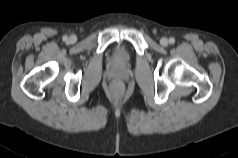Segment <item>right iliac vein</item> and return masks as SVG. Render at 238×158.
<instances>
[{"mask_svg": "<svg viewBox=\"0 0 238 158\" xmlns=\"http://www.w3.org/2000/svg\"><path fill=\"white\" fill-rule=\"evenodd\" d=\"M70 42H75L76 41V37L75 36H71L70 39H69Z\"/></svg>", "mask_w": 238, "mask_h": 158, "instance_id": "1", "label": "right iliac vein"}]
</instances>
